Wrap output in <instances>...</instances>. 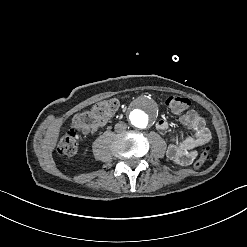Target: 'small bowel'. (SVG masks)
Returning a JSON list of instances; mask_svg holds the SVG:
<instances>
[{
  "instance_id": "1",
  "label": "small bowel",
  "mask_w": 247,
  "mask_h": 247,
  "mask_svg": "<svg viewBox=\"0 0 247 247\" xmlns=\"http://www.w3.org/2000/svg\"><path fill=\"white\" fill-rule=\"evenodd\" d=\"M180 120L193 131V134L187 135L179 141H173L168 146L167 156L177 165L188 166L197 156L196 149L208 142L210 137L207 133L209 131L206 127L204 118L195 110L187 111L181 116ZM106 121L92 128L82 127L81 130L86 134L92 133L103 127ZM156 129L161 133H166L169 130V124L165 120H159L156 123Z\"/></svg>"
}]
</instances>
